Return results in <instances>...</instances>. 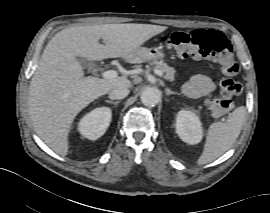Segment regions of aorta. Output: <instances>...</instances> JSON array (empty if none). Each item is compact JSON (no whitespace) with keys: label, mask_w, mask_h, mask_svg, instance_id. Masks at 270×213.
Wrapping results in <instances>:
<instances>
[{"label":"aorta","mask_w":270,"mask_h":213,"mask_svg":"<svg viewBox=\"0 0 270 213\" xmlns=\"http://www.w3.org/2000/svg\"><path fill=\"white\" fill-rule=\"evenodd\" d=\"M161 94L160 91L155 87L146 88L140 96L141 102L145 106H155L160 101Z\"/></svg>","instance_id":"aorta-1"}]
</instances>
